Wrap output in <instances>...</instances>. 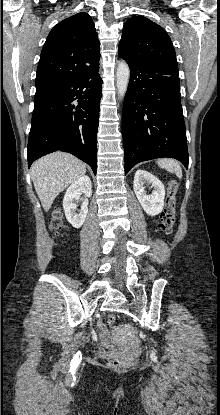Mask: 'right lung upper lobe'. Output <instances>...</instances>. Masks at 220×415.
Here are the masks:
<instances>
[{
  "label": "right lung upper lobe",
  "instance_id": "1",
  "mask_svg": "<svg viewBox=\"0 0 220 415\" xmlns=\"http://www.w3.org/2000/svg\"><path fill=\"white\" fill-rule=\"evenodd\" d=\"M100 42L89 14L77 13L49 33L37 67L36 86L58 85L99 68Z\"/></svg>",
  "mask_w": 220,
  "mask_h": 415
}]
</instances>
